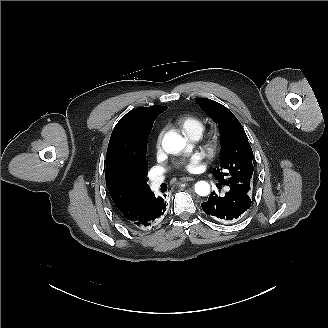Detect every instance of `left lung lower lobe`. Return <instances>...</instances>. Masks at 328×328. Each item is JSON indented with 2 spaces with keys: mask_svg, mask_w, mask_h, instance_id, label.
I'll list each match as a JSON object with an SVG mask.
<instances>
[{
  "mask_svg": "<svg viewBox=\"0 0 328 328\" xmlns=\"http://www.w3.org/2000/svg\"><path fill=\"white\" fill-rule=\"evenodd\" d=\"M251 205L248 194L230 188L225 196L220 197L212 192L208 201L201 204L203 211L221 222H230L241 216Z\"/></svg>",
  "mask_w": 328,
  "mask_h": 328,
  "instance_id": "1",
  "label": "left lung lower lobe"
}]
</instances>
